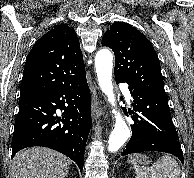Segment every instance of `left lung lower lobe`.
<instances>
[{"instance_id":"0a47b994","label":"left lung lower lobe","mask_w":194,"mask_h":178,"mask_svg":"<svg viewBox=\"0 0 194 178\" xmlns=\"http://www.w3.org/2000/svg\"><path fill=\"white\" fill-rule=\"evenodd\" d=\"M120 81H117L119 83ZM137 112L131 125L132 137L122 155L144 151L173 154L183 162L180 141L172 122L166 92L129 86Z\"/></svg>"}]
</instances>
